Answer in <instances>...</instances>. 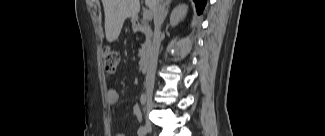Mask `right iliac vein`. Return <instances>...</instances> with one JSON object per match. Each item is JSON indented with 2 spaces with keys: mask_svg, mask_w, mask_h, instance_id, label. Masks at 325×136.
Wrapping results in <instances>:
<instances>
[{
  "mask_svg": "<svg viewBox=\"0 0 325 136\" xmlns=\"http://www.w3.org/2000/svg\"><path fill=\"white\" fill-rule=\"evenodd\" d=\"M151 108V105H149V109ZM145 129L147 132H151L152 131V125L149 121L146 122L145 124Z\"/></svg>",
  "mask_w": 325,
  "mask_h": 136,
  "instance_id": "obj_1",
  "label": "right iliac vein"
}]
</instances>
